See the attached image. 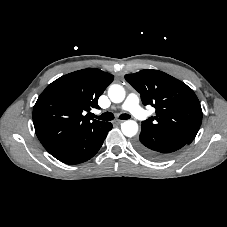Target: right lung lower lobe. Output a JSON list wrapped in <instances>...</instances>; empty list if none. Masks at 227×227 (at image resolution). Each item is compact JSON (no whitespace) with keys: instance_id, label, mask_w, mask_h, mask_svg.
I'll return each mask as SVG.
<instances>
[{"instance_id":"1","label":"right lung lower lobe","mask_w":227,"mask_h":227,"mask_svg":"<svg viewBox=\"0 0 227 227\" xmlns=\"http://www.w3.org/2000/svg\"><path fill=\"white\" fill-rule=\"evenodd\" d=\"M111 129L112 124L106 122L99 128L83 132L72 142L50 154L66 164L74 165L85 162L98 152Z\"/></svg>"}]
</instances>
